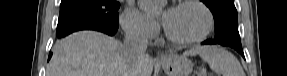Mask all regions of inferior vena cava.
<instances>
[{
  "label": "inferior vena cava",
  "mask_w": 287,
  "mask_h": 76,
  "mask_svg": "<svg viewBox=\"0 0 287 76\" xmlns=\"http://www.w3.org/2000/svg\"><path fill=\"white\" fill-rule=\"evenodd\" d=\"M125 40L122 52L129 64L143 59L146 54L148 39L143 27L138 22H130L124 26Z\"/></svg>",
  "instance_id": "602c4592"
}]
</instances>
